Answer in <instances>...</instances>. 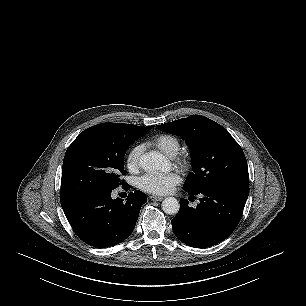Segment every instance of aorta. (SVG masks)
Wrapping results in <instances>:
<instances>
[{
  "mask_svg": "<svg viewBox=\"0 0 306 306\" xmlns=\"http://www.w3.org/2000/svg\"><path fill=\"white\" fill-rule=\"evenodd\" d=\"M140 166L145 172L155 173L166 166L164 158L157 154H146L140 157ZM180 208L179 201L174 197H167L162 202V209L166 214H177Z\"/></svg>",
  "mask_w": 306,
  "mask_h": 306,
  "instance_id": "762f6f07",
  "label": "aorta"
}]
</instances>
